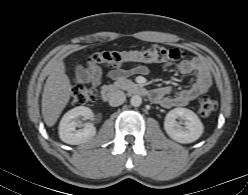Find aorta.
Here are the masks:
<instances>
[{
  "label": "aorta",
  "instance_id": "aorta-1",
  "mask_svg": "<svg viewBox=\"0 0 248 195\" xmlns=\"http://www.w3.org/2000/svg\"><path fill=\"white\" fill-rule=\"evenodd\" d=\"M130 103H131L132 106L138 107L142 103V98L139 95H134V96L131 97Z\"/></svg>",
  "mask_w": 248,
  "mask_h": 195
}]
</instances>
